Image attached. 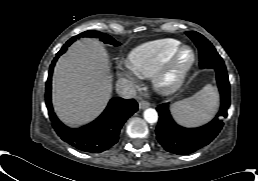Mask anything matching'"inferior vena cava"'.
Masks as SVG:
<instances>
[{"label":"inferior vena cava","instance_id":"602c4592","mask_svg":"<svg viewBox=\"0 0 258 181\" xmlns=\"http://www.w3.org/2000/svg\"><path fill=\"white\" fill-rule=\"evenodd\" d=\"M116 91L118 95L124 99H131L136 96V88L128 79L121 78L116 83Z\"/></svg>","mask_w":258,"mask_h":181}]
</instances>
